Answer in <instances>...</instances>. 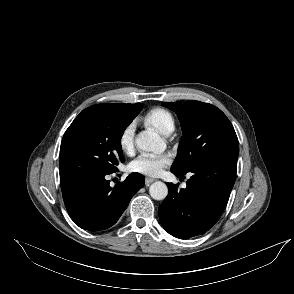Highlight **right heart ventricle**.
Masks as SVG:
<instances>
[{"label": "right heart ventricle", "instance_id": "right-heart-ventricle-1", "mask_svg": "<svg viewBox=\"0 0 294 294\" xmlns=\"http://www.w3.org/2000/svg\"><path fill=\"white\" fill-rule=\"evenodd\" d=\"M144 123L162 134H170L176 126L174 115L167 109L157 107L147 112Z\"/></svg>", "mask_w": 294, "mask_h": 294}]
</instances>
